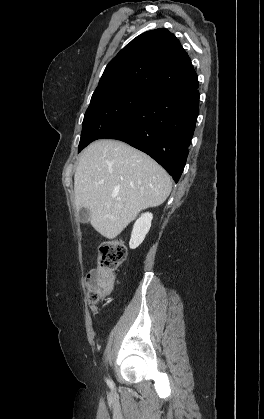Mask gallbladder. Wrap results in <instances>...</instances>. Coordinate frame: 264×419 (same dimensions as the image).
<instances>
[{"label": "gallbladder", "instance_id": "1", "mask_svg": "<svg viewBox=\"0 0 264 419\" xmlns=\"http://www.w3.org/2000/svg\"><path fill=\"white\" fill-rule=\"evenodd\" d=\"M90 212L86 208L79 210V217L82 223H86L89 219Z\"/></svg>", "mask_w": 264, "mask_h": 419}]
</instances>
